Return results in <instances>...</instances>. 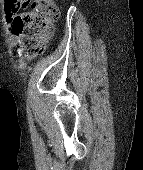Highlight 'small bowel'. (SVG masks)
<instances>
[{"label": "small bowel", "instance_id": "small-bowel-1", "mask_svg": "<svg viewBox=\"0 0 143 170\" xmlns=\"http://www.w3.org/2000/svg\"><path fill=\"white\" fill-rule=\"evenodd\" d=\"M29 6V0H14L10 5L13 13H16L18 10H26ZM9 37L12 41V44L16 45L21 39V34L18 32H9Z\"/></svg>", "mask_w": 143, "mask_h": 170}]
</instances>
